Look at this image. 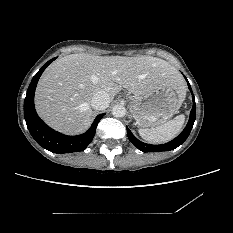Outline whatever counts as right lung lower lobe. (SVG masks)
Masks as SVG:
<instances>
[{"mask_svg": "<svg viewBox=\"0 0 233 233\" xmlns=\"http://www.w3.org/2000/svg\"><path fill=\"white\" fill-rule=\"evenodd\" d=\"M56 58L49 60L33 77L24 101V118L30 134L43 148L53 153H71L85 150L92 141L96 127L105 114H99L88 131L77 136H67L48 127L37 115L34 94L40 76Z\"/></svg>", "mask_w": 233, "mask_h": 233, "instance_id": "obj_1", "label": "right lung lower lobe"}]
</instances>
